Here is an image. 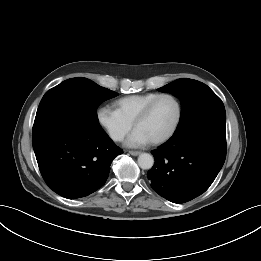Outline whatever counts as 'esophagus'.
Segmentation results:
<instances>
[{
    "instance_id": "34e87169",
    "label": "esophagus",
    "mask_w": 261,
    "mask_h": 261,
    "mask_svg": "<svg viewBox=\"0 0 261 261\" xmlns=\"http://www.w3.org/2000/svg\"><path fill=\"white\" fill-rule=\"evenodd\" d=\"M129 153H130L131 155H133V156H137V155L140 154L139 151H129Z\"/></svg>"
}]
</instances>
